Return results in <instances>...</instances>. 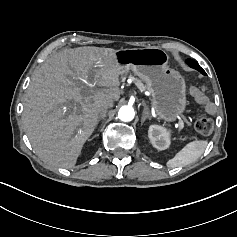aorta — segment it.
I'll return each instance as SVG.
<instances>
[{"label":"aorta","instance_id":"obj_1","mask_svg":"<svg viewBox=\"0 0 237 237\" xmlns=\"http://www.w3.org/2000/svg\"><path fill=\"white\" fill-rule=\"evenodd\" d=\"M134 109L129 106H122L119 109L118 117L122 122H130L134 119Z\"/></svg>","mask_w":237,"mask_h":237}]
</instances>
